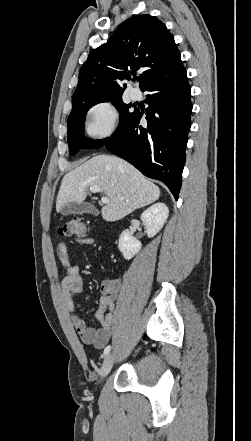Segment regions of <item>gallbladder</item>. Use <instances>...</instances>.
Listing matches in <instances>:
<instances>
[{"label": "gallbladder", "mask_w": 251, "mask_h": 441, "mask_svg": "<svg viewBox=\"0 0 251 441\" xmlns=\"http://www.w3.org/2000/svg\"><path fill=\"white\" fill-rule=\"evenodd\" d=\"M62 213L64 215H69V214H83V213H92L94 215H98L99 211L90 203H75V202H70L67 203L63 209H62Z\"/></svg>", "instance_id": "obj_1"}]
</instances>
